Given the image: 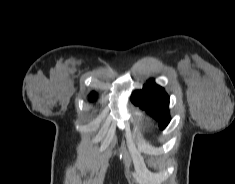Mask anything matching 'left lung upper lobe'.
Masks as SVG:
<instances>
[{"label": "left lung upper lobe", "instance_id": "5c2ea615", "mask_svg": "<svg viewBox=\"0 0 235 184\" xmlns=\"http://www.w3.org/2000/svg\"><path fill=\"white\" fill-rule=\"evenodd\" d=\"M131 99L156 119L162 129L170 122L169 96L154 80L147 81L142 90L134 91Z\"/></svg>", "mask_w": 235, "mask_h": 184}]
</instances>
